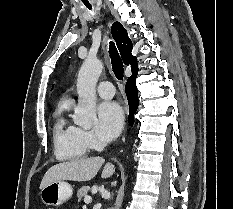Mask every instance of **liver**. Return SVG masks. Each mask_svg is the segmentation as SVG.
<instances>
[{"instance_id":"1","label":"liver","mask_w":233,"mask_h":209,"mask_svg":"<svg viewBox=\"0 0 233 209\" xmlns=\"http://www.w3.org/2000/svg\"><path fill=\"white\" fill-rule=\"evenodd\" d=\"M105 160L101 157L81 158L67 162L58 163L47 170L40 189L56 181H89L96 176ZM115 172V167L111 163H107L103 169L102 178H108Z\"/></svg>"}]
</instances>
